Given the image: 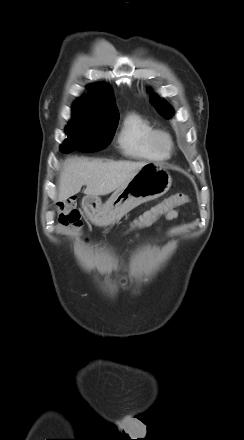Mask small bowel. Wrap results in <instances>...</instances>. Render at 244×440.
<instances>
[{
    "label": "small bowel",
    "instance_id": "1",
    "mask_svg": "<svg viewBox=\"0 0 244 440\" xmlns=\"http://www.w3.org/2000/svg\"><path fill=\"white\" fill-rule=\"evenodd\" d=\"M178 215H179L178 210H170L169 212L166 213V218L168 220H173V219L177 218Z\"/></svg>",
    "mask_w": 244,
    "mask_h": 440
}]
</instances>
